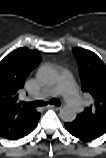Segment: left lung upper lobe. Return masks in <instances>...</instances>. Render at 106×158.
<instances>
[{"label": "left lung upper lobe", "instance_id": "left-lung-upper-lobe-1", "mask_svg": "<svg viewBox=\"0 0 106 158\" xmlns=\"http://www.w3.org/2000/svg\"><path fill=\"white\" fill-rule=\"evenodd\" d=\"M81 78V89L93 102L71 122L82 134L94 139L106 131V65L93 52L73 48Z\"/></svg>", "mask_w": 106, "mask_h": 158}]
</instances>
